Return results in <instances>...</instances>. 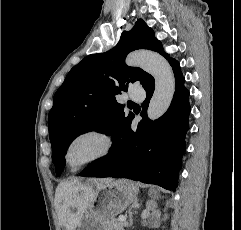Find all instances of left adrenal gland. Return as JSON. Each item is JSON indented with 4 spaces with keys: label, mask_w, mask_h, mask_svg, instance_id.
<instances>
[{
    "label": "left adrenal gland",
    "mask_w": 241,
    "mask_h": 230,
    "mask_svg": "<svg viewBox=\"0 0 241 230\" xmlns=\"http://www.w3.org/2000/svg\"><path fill=\"white\" fill-rule=\"evenodd\" d=\"M140 204L138 203V199H135L134 203L131 206V209L129 210V220H130V225L132 224V212L131 210L133 208H139Z\"/></svg>",
    "instance_id": "a2214340"
}]
</instances>
